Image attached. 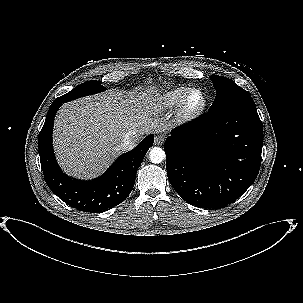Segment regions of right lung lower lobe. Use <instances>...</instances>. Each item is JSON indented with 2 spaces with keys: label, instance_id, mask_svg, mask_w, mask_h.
I'll list each match as a JSON object with an SVG mask.
<instances>
[{
  "label": "right lung lower lobe",
  "instance_id": "98d812e1",
  "mask_svg": "<svg viewBox=\"0 0 303 303\" xmlns=\"http://www.w3.org/2000/svg\"><path fill=\"white\" fill-rule=\"evenodd\" d=\"M62 103L64 100H54L39 133L38 148L45 181L58 197L80 211H107L129 196L137 169L153 145L154 136H147L133 150L122 154L99 178L92 181L72 179L59 168L52 147L54 117Z\"/></svg>",
  "mask_w": 303,
  "mask_h": 303
}]
</instances>
